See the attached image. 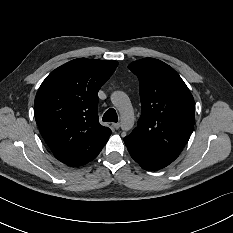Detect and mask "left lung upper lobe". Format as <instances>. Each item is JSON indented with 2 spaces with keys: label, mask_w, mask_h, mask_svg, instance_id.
<instances>
[{
  "label": "left lung upper lobe",
  "mask_w": 233,
  "mask_h": 233,
  "mask_svg": "<svg viewBox=\"0 0 233 233\" xmlns=\"http://www.w3.org/2000/svg\"><path fill=\"white\" fill-rule=\"evenodd\" d=\"M128 68L139 79L141 117L130 136L179 156L195 123V103L178 73L166 63L144 58Z\"/></svg>",
  "instance_id": "5c2ea615"
}]
</instances>
